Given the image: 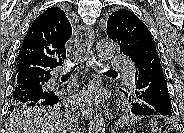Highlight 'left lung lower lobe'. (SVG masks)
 <instances>
[{"mask_svg":"<svg viewBox=\"0 0 184 133\" xmlns=\"http://www.w3.org/2000/svg\"><path fill=\"white\" fill-rule=\"evenodd\" d=\"M157 56L144 57L138 64V78L129 92L132 93L131 113L135 116H172L171 99ZM124 93L128 97L129 93Z\"/></svg>","mask_w":184,"mask_h":133,"instance_id":"left-lung-lower-lobe-1","label":"left lung lower lobe"}]
</instances>
